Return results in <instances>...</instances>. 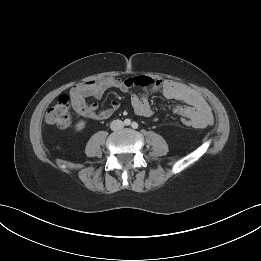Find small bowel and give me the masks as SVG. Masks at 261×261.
Returning a JSON list of instances; mask_svg holds the SVG:
<instances>
[{"label":"small bowel","mask_w":261,"mask_h":261,"mask_svg":"<svg viewBox=\"0 0 261 261\" xmlns=\"http://www.w3.org/2000/svg\"><path fill=\"white\" fill-rule=\"evenodd\" d=\"M111 88L131 93V105L139 116L150 117L153 110L149 97L152 93L160 92L165 98L179 100L186 105L177 106L174 112L192 121L195 128H205L213 123V115L205 98L196 90L168 79H154L145 75H137L120 79L106 77L100 80L87 81L71 88L69 98L73 110L89 119L104 120L109 118L118 108L119 103L112 101L110 107L98 110L97 103H87V97L100 99ZM134 88L143 90V94L133 93Z\"/></svg>","instance_id":"c3829d8e"}]
</instances>
